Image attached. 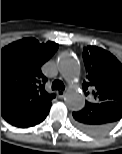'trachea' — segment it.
<instances>
[{"label":"trachea","instance_id":"3493384b","mask_svg":"<svg viewBox=\"0 0 122 154\" xmlns=\"http://www.w3.org/2000/svg\"><path fill=\"white\" fill-rule=\"evenodd\" d=\"M52 89L53 90H64L65 89V85L63 84L62 81L60 80H55L52 83Z\"/></svg>","mask_w":122,"mask_h":154}]
</instances>
